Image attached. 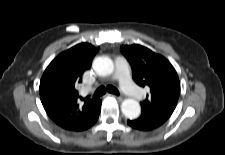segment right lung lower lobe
Instances as JSON below:
<instances>
[{
    "label": "right lung lower lobe",
    "mask_w": 225,
    "mask_h": 155,
    "mask_svg": "<svg viewBox=\"0 0 225 155\" xmlns=\"http://www.w3.org/2000/svg\"><path fill=\"white\" fill-rule=\"evenodd\" d=\"M100 108H101V102H100V105H99V107H98V109H97V111L95 113L94 119H93V121H92V123L90 124L89 127H91L97 121L99 113H100Z\"/></svg>",
    "instance_id": "obj_1"
}]
</instances>
